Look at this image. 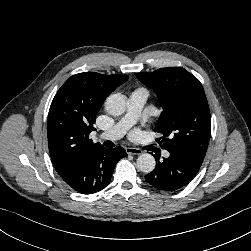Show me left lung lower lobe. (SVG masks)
<instances>
[{
	"mask_svg": "<svg viewBox=\"0 0 251 251\" xmlns=\"http://www.w3.org/2000/svg\"><path fill=\"white\" fill-rule=\"evenodd\" d=\"M158 161L155 169L145 176L148 183L159 190L176 191L187 185L199 171L202 162L189 154L170 152L163 162Z\"/></svg>",
	"mask_w": 251,
	"mask_h": 251,
	"instance_id": "0a47b994",
	"label": "left lung lower lobe"
}]
</instances>
